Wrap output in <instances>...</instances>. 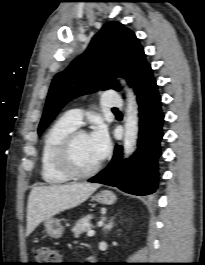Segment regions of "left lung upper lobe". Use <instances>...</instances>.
Instances as JSON below:
<instances>
[{"mask_svg": "<svg viewBox=\"0 0 205 265\" xmlns=\"http://www.w3.org/2000/svg\"><path fill=\"white\" fill-rule=\"evenodd\" d=\"M148 67L135 34L119 22L105 24L87 50L54 77L38 127L39 135L71 99L98 89L119 91L120 86L115 81L118 76L135 87Z\"/></svg>", "mask_w": 205, "mask_h": 265, "instance_id": "obj_1", "label": "left lung upper lobe"}]
</instances>
